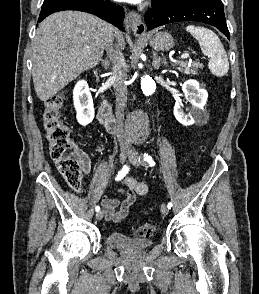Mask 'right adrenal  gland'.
I'll return each mask as SVG.
<instances>
[{"mask_svg":"<svg viewBox=\"0 0 259 294\" xmlns=\"http://www.w3.org/2000/svg\"><path fill=\"white\" fill-rule=\"evenodd\" d=\"M110 60L111 59L102 60V65L104 66L105 69H108V67L110 65Z\"/></svg>","mask_w":259,"mask_h":294,"instance_id":"obj_1","label":"right adrenal gland"}]
</instances>
